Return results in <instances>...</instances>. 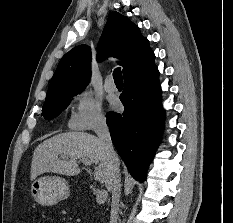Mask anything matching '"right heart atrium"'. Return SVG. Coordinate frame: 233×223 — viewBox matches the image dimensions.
Returning <instances> with one entry per match:
<instances>
[{
  "label": "right heart atrium",
  "instance_id": "obj_1",
  "mask_svg": "<svg viewBox=\"0 0 233 223\" xmlns=\"http://www.w3.org/2000/svg\"><path fill=\"white\" fill-rule=\"evenodd\" d=\"M68 126L73 130H99L106 127L101 101L91 91L84 90L78 94Z\"/></svg>",
  "mask_w": 233,
  "mask_h": 223
}]
</instances>
